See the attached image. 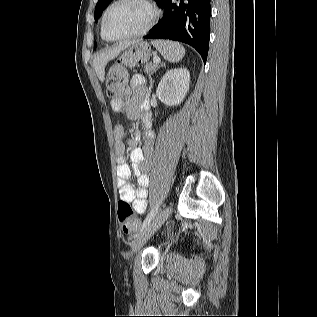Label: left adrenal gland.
Listing matches in <instances>:
<instances>
[{"mask_svg": "<svg viewBox=\"0 0 317 317\" xmlns=\"http://www.w3.org/2000/svg\"><path fill=\"white\" fill-rule=\"evenodd\" d=\"M163 66V64H161L159 67H162ZM152 87H153V82H152V79H150V90L152 89Z\"/></svg>", "mask_w": 317, "mask_h": 317, "instance_id": "left-adrenal-gland-1", "label": "left adrenal gland"}]
</instances>
